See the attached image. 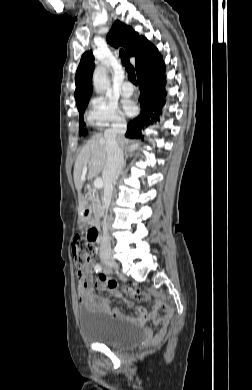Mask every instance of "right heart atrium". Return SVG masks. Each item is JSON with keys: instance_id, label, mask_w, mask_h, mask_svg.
Wrapping results in <instances>:
<instances>
[{"instance_id": "right-heart-atrium-1", "label": "right heart atrium", "mask_w": 252, "mask_h": 390, "mask_svg": "<svg viewBox=\"0 0 252 390\" xmlns=\"http://www.w3.org/2000/svg\"><path fill=\"white\" fill-rule=\"evenodd\" d=\"M87 120L96 129L118 128L125 125V119L117 104L101 97L91 99Z\"/></svg>"}]
</instances>
